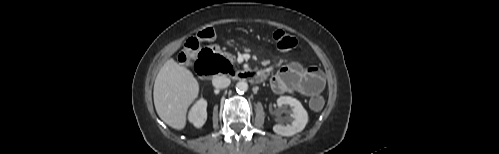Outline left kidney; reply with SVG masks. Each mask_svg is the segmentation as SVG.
I'll list each match as a JSON object with an SVG mask.
<instances>
[{
  "instance_id": "5707ae66",
  "label": "left kidney",
  "mask_w": 499,
  "mask_h": 154,
  "mask_svg": "<svg viewBox=\"0 0 499 154\" xmlns=\"http://www.w3.org/2000/svg\"><path fill=\"white\" fill-rule=\"evenodd\" d=\"M277 105L278 107L289 106L292 110L291 117L293 121L288 125H274L273 131L275 133L282 136H292L305 128L308 122V113L300 101L290 96H281L277 99Z\"/></svg>"
}]
</instances>
